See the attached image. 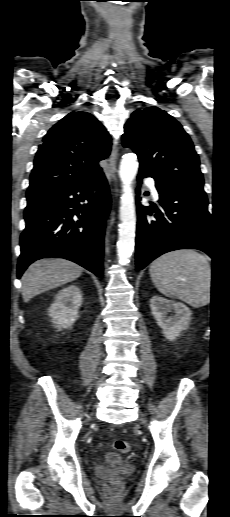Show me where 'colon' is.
I'll use <instances>...</instances> for the list:
<instances>
[{
  "instance_id": "1",
  "label": "colon",
  "mask_w": 230,
  "mask_h": 517,
  "mask_svg": "<svg viewBox=\"0 0 230 517\" xmlns=\"http://www.w3.org/2000/svg\"><path fill=\"white\" fill-rule=\"evenodd\" d=\"M115 449L121 452H128L130 450V444L125 440H115L114 441ZM122 488V483L119 480L109 481L105 485V496L108 499L115 500L119 497Z\"/></svg>"
}]
</instances>
